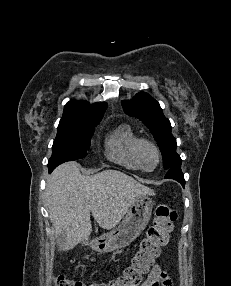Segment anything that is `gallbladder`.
<instances>
[{
    "label": "gallbladder",
    "instance_id": "gallbladder-1",
    "mask_svg": "<svg viewBox=\"0 0 231 286\" xmlns=\"http://www.w3.org/2000/svg\"><path fill=\"white\" fill-rule=\"evenodd\" d=\"M65 241H58L57 243H64Z\"/></svg>",
    "mask_w": 231,
    "mask_h": 286
}]
</instances>
